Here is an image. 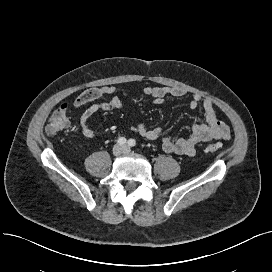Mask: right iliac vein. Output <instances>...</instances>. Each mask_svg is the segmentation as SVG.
<instances>
[{
  "mask_svg": "<svg viewBox=\"0 0 272 272\" xmlns=\"http://www.w3.org/2000/svg\"><path fill=\"white\" fill-rule=\"evenodd\" d=\"M112 152L115 156H119L123 152V148L120 145H115Z\"/></svg>",
  "mask_w": 272,
  "mask_h": 272,
  "instance_id": "1",
  "label": "right iliac vein"
}]
</instances>
